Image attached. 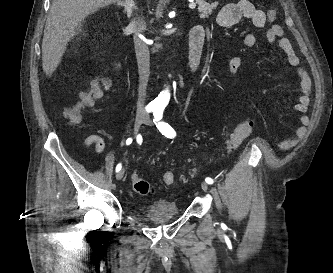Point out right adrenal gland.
<instances>
[{
  "label": "right adrenal gland",
  "instance_id": "1",
  "mask_svg": "<svg viewBox=\"0 0 333 273\" xmlns=\"http://www.w3.org/2000/svg\"><path fill=\"white\" fill-rule=\"evenodd\" d=\"M119 7L124 8V13L127 15L128 18H131L132 13L134 10L137 9L136 3L134 0H123L117 3Z\"/></svg>",
  "mask_w": 333,
  "mask_h": 273
}]
</instances>
